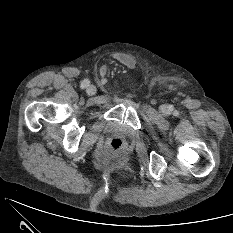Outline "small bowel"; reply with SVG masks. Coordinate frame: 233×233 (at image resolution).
I'll return each instance as SVG.
<instances>
[{
    "label": "small bowel",
    "instance_id": "c3829d8e",
    "mask_svg": "<svg viewBox=\"0 0 233 233\" xmlns=\"http://www.w3.org/2000/svg\"><path fill=\"white\" fill-rule=\"evenodd\" d=\"M113 58L118 62L122 63L123 65L127 66L128 68H132L135 65V61L132 56L127 53L117 52L113 54ZM106 68V66H103Z\"/></svg>",
    "mask_w": 233,
    "mask_h": 233
}]
</instances>
